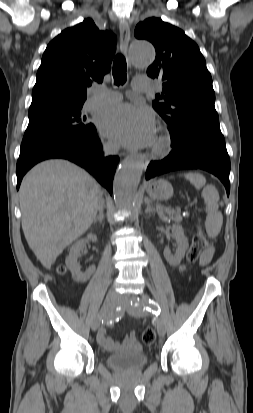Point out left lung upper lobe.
Masks as SVG:
<instances>
[{
	"label": "left lung upper lobe",
	"mask_w": 253,
	"mask_h": 413,
	"mask_svg": "<svg viewBox=\"0 0 253 413\" xmlns=\"http://www.w3.org/2000/svg\"><path fill=\"white\" fill-rule=\"evenodd\" d=\"M135 37L149 40L155 47L156 59L147 75L163 81L153 108L169 130L200 119L218 122L212 78L197 44L181 29L155 17L140 22Z\"/></svg>",
	"instance_id": "1"
}]
</instances>
